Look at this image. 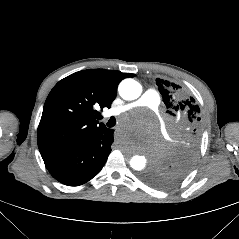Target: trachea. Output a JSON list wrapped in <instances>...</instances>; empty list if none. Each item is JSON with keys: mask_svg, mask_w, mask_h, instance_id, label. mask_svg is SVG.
<instances>
[{"mask_svg": "<svg viewBox=\"0 0 239 239\" xmlns=\"http://www.w3.org/2000/svg\"><path fill=\"white\" fill-rule=\"evenodd\" d=\"M115 124H116V119H115V117H111V118L108 120V122H107V126H108L109 128L113 127Z\"/></svg>", "mask_w": 239, "mask_h": 239, "instance_id": "3493384b", "label": "trachea"}]
</instances>
